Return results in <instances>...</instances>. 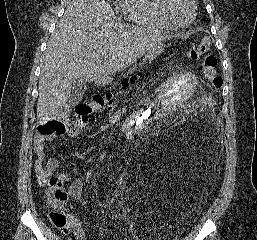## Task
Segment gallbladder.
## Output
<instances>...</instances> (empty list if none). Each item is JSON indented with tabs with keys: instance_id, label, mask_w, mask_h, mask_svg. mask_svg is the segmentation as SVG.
<instances>
[{
	"instance_id": "gallbladder-1",
	"label": "gallbladder",
	"mask_w": 257,
	"mask_h": 240,
	"mask_svg": "<svg viewBox=\"0 0 257 240\" xmlns=\"http://www.w3.org/2000/svg\"><path fill=\"white\" fill-rule=\"evenodd\" d=\"M85 90L86 83L75 79L72 83L71 94L68 99V104L74 106L79 103L83 97Z\"/></svg>"
}]
</instances>
